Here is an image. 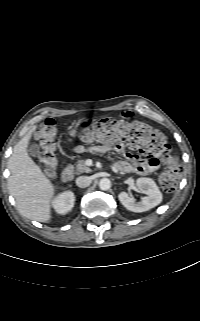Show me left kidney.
Returning a JSON list of instances; mask_svg holds the SVG:
<instances>
[{
    "instance_id": "obj_1",
    "label": "left kidney",
    "mask_w": 200,
    "mask_h": 321,
    "mask_svg": "<svg viewBox=\"0 0 200 321\" xmlns=\"http://www.w3.org/2000/svg\"><path fill=\"white\" fill-rule=\"evenodd\" d=\"M137 186L143 190L147 196L140 202H136L127 192H121L118 195L121 204L128 210L136 213L148 211L162 202V193L156 183L150 178H138Z\"/></svg>"
}]
</instances>
